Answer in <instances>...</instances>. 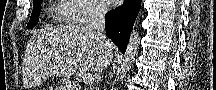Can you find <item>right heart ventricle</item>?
Listing matches in <instances>:
<instances>
[{
	"label": "right heart ventricle",
	"mask_w": 216,
	"mask_h": 90,
	"mask_svg": "<svg viewBox=\"0 0 216 90\" xmlns=\"http://www.w3.org/2000/svg\"><path fill=\"white\" fill-rule=\"evenodd\" d=\"M51 15H54L53 20H49V24H72V16H75L77 11H81V7L77 4H56L50 7ZM70 28H80L79 25H71Z\"/></svg>",
	"instance_id": "right-heart-ventricle-1"
}]
</instances>
